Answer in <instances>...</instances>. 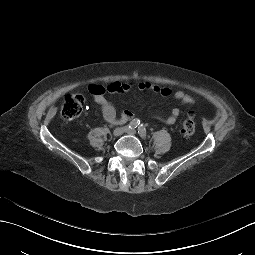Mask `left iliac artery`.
<instances>
[{
	"mask_svg": "<svg viewBox=\"0 0 255 255\" xmlns=\"http://www.w3.org/2000/svg\"><path fill=\"white\" fill-rule=\"evenodd\" d=\"M138 133H139V135L142 137V138H146V128L144 127V125H140L139 127H138Z\"/></svg>",
	"mask_w": 255,
	"mask_h": 255,
	"instance_id": "left-iliac-artery-1",
	"label": "left iliac artery"
}]
</instances>
